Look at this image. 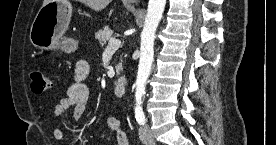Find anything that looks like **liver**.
I'll list each match as a JSON object with an SVG mask.
<instances>
[{"label":"liver","instance_id":"1","mask_svg":"<svg viewBox=\"0 0 276 145\" xmlns=\"http://www.w3.org/2000/svg\"><path fill=\"white\" fill-rule=\"evenodd\" d=\"M49 1L50 0H44L43 5L47 4ZM76 1L83 3L84 5L88 6L94 11H101L106 6H108L109 3L111 2V0H76Z\"/></svg>","mask_w":276,"mask_h":145}]
</instances>
